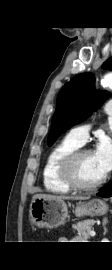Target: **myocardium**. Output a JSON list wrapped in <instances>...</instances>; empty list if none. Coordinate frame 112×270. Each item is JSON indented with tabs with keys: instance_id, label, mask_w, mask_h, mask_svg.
Here are the masks:
<instances>
[{
	"instance_id": "obj_1",
	"label": "myocardium",
	"mask_w": 112,
	"mask_h": 270,
	"mask_svg": "<svg viewBox=\"0 0 112 270\" xmlns=\"http://www.w3.org/2000/svg\"><path fill=\"white\" fill-rule=\"evenodd\" d=\"M91 152L92 151L90 149L79 147L66 154L60 161V178L70 189L75 191H91L99 188L106 181V175L92 184H84L78 180L76 175L77 162L84 154Z\"/></svg>"
}]
</instances>
